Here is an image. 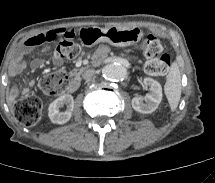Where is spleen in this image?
Instances as JSON below:
<instances>
[{"label": "spleen", "mask_w": 215, "mask_h": 183, "mask_svg": "<svg viewBox=\"0 0 215 183\" xmlns=\"http://www.w3.org/2000/svg\"><path fill=\"white\" fill-rule=\"evenodd\" d=\"M181 73L177 64L171 66L164 92L172 111H175L181 97Z\"/></svg>", "instance_id": "obj_1"}]
</instances>
